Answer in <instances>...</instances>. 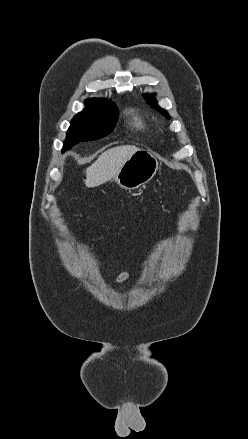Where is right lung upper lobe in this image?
<instances>
[{"label":"right lung upper lobe","instance_id":"obj_1","mask_svg":"<svg viewBox=\"0 0 248 439\" xmlns=\"http://www.w3.org/2000/svg\"><path fill=\"white\" fill-rule=\"evenodd\" d=\"M86 107H95L100 109H106V110H117L116 105L112 102H108L104 99H88L85 102Z\"/></svg>","mask_w":248,"mask_h":439}]
</instances>
